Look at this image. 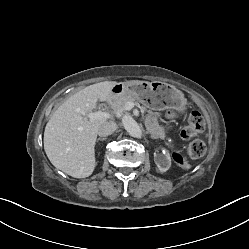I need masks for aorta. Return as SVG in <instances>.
Segmentation results:
<instances>
[{
	"label": "aorta",
	"mask_w": 249,
	"mask_h": 249,
	"mask_svg": "<svg viewBox=\"0 0 249 249\" xmlns=\"http://www.w3.org/2000/svg\"><path fill=\"white\" fill-rule=\"evenodd\" d=\"M123 125L129 135L140 138L142 136V130L137 122L130 116H126L123 119Z\"/></svg>",
	"instance_id": "obj_1"
}]
</instances>
